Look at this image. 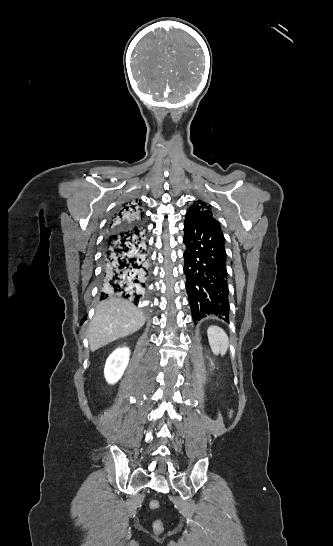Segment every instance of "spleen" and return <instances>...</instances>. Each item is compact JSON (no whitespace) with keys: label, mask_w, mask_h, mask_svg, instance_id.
<instances>
[{"label":"spleen","mask_w":333,"mask_h":546,"mask_svg":"<svg viewBox=\"0 0 333 546\" xmlns=\"http://www.w3.org/2000/svg\"><path fill=\"white\" fill-rule=\"evenodd\" d=\"M207 336L213 353L225 355L229 347V338L226 332L221 327L212 325L207 330Z\"/></svg>","instance_id":"obj_1"}]
</instances>
